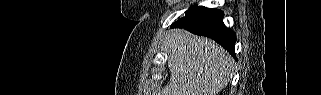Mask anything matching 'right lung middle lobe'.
Masks as SVG:
<instances>
[{"label":"right lung middle lobe","mask_w":321,"mask_h":95,"mask_svg":"<svg viewBox=\"0 0 321 95\" xmlns=\"http://www.w3.org/2000/svg\"><path fill=\"white\" fill-rule=\"evenodd\" d=\"M205 7L204 6H192L190 9H188L186 12H185V17L186 16H190L194 13H197L199 12L200 10L204 9Z\"/></svg>","instance_id":"obj_1"}]
</instances>
